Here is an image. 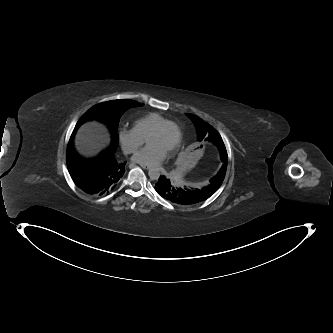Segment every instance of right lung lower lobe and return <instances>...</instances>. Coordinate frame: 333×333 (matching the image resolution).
<instances>
[{"instance_id":"98d812e1","label":"right lung lower lobe","mask_w":333,"mask_h":333,"mask_svg":"<svg viewBox=\"0 0 333 333\" xmlns=\"http://www.w3.org/2000/svg\"><path fill=\"white\" fill-rule=\"evenodd\" d=\"M73 132L67 149V166L77 187L89 195L110 193L119 184L125 172L126 162L114 158V150L108 149L98 158L85 160L73 150Z\"/></svg>"}]
</instances>
